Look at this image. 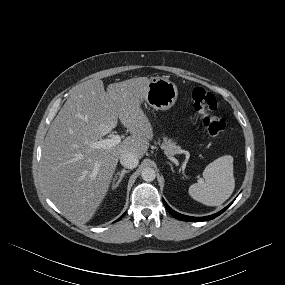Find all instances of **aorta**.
I'll list each match as a JSON object with an SVG mask.
<instances>
[{
    "label": "aorta",
    "mask_w": 285,
    "mask_h": 285,
    "mask_svg": "<svg viewBox=\"0 0 285 285\" xmlns=\"http://www.w3.org/2000/svg\"><path fill=\"white\" fill-rule=\"evenodd\" d=\"M141 177L144 181L146 182H151L155 179L156 177V172L153 168L151 167H146L142 170L141 172Z\"/></svg>",
    "instance_id": "1"
}]
</instances>
